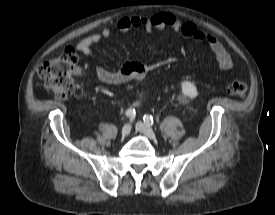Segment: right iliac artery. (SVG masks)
Listing matches in <instances>:
<instances>
[{"instance_id":"82829eb1","label":"right iliac artery","mask_w":275,"mask_h":215,"mask_svg":"<svg viewBox=\"0 0 275 215\" xmlns=\"http://www.w3.org/2000/svg\"><path fill=\"white\" fill-rule=\"evenodd\" d=\"M125 115L132 120L135 116V109H132V108L128 109Z\"/></svg>"}]
</instances>
